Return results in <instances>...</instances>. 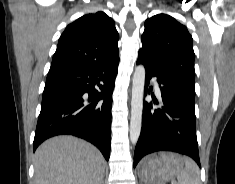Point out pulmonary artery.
Wrapping results in <instances>:
<instances>
[{
	"mask_svg": "<svg viewBox=\"0 0 235 184\" xmlns=\"http://www.w3.org/2000/svg\"><path fill=\"white\" fill-rule=\"evenodd\" d=\"M154 81H155V80H154ZM155 85H156V87H157V92L160 93V90H159V88H158V84H157L156 81H155Z\"/></svg>",
	"mask_w": 235,
	"mask_h": 184,
	"instance_id": "pulmonary-artery-1",
	"label": "pulmonary artery"
}]
</instances>
